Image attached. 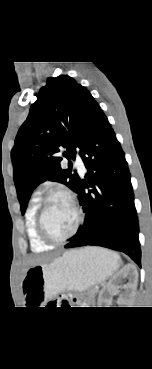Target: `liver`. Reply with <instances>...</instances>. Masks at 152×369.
Masks as SVG:
<instances>
[{
  "label": "liver",
  "mask_w": 152,
  "mask_h": 369,
  "mask_svg": "<svg viewBox=\"0 0 152 369\" xmlns=\"http://www.w3.org/2000/svg\"><path fill=\"white\" fill-rule=\"evenodd\" d=\"M47 258L45 257H39V256H35L32 259L29 260V263L33 266L36 264H41L42 262L46 261Z\"/></svg>",
  "instance_id": "liver-1"
}]
</instances>
